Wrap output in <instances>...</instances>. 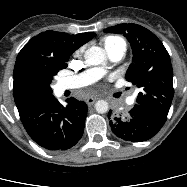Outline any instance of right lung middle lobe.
Here are the masks:
<instances>
[{
    "mask_svg": "<svg viewBox=\"0 0 187 187\" xmlns=\"http://www.w3.org/2000/svg\"><path fill=\"white\" fill-rule=\"evenodd\" d=\"M66 67L67 64L55 61L29 60L18 71L17 85L22 93L30 99H45L52 95L50 83L53 77L59 70Z\"/></svg>",
    "mask_w": 187,
    "mask_h": 187,
    "instance_id": "dd1d6c3e",
    "label": "right lung middle lobe"
}]
</instances>
